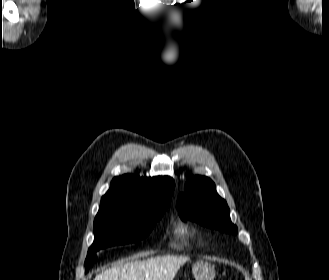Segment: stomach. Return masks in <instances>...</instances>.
<instances>
[{
	"mask_svg": "<svg viewBox=\"0 0 329 280\" xmlns=\"http://www.w3.org/2000/svg\"><path fill=\"white\" fill-rule=\"evenodd\" d=\"M192 274L195 280H213L215 267L207 261H197L192 265Z\"/></svg>",
	"mask_w": 329,
	"mask_h": 280,
	"instance_id": "obj_1",
	"label": "stomach"
}]
</instances>
